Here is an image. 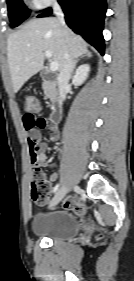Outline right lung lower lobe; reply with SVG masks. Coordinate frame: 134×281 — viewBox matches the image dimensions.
<instances>
[{"label":"right lung lower lobe","instance_id":"right-lung-lower-lobe-1","mask_svg":"<svg viewBox=\"0 0 134 281\" xmlns=\"http://www.w3.org/2000/svg\"><path fill=\"white\" fill-rule=\"evenodd\" d=\"M68 26L82 35L102 55H104L103 22L107 9L106 0H58ZM51 9L38 15L47 17Z\"/></svg>","mask_w":134,"mask_h":281}]
</instances>
